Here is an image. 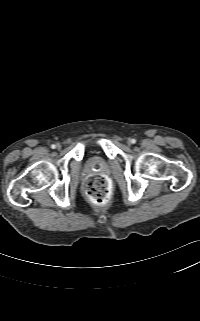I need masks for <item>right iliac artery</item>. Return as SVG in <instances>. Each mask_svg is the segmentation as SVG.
<instances>
[{
  "mask_svg": "<svg viewBox=\"0 0 200 321\" xmlns=\"http://www.w3.org/2000/svg\"><path fill=\"white\" fill-rule=\"evenodd\" d=\"M51 148H52V149H55V148H56V145L52 144V145H51Z\"/></svg>",
  "mask_w": 200,
  "mask_h": 321,
  "instance_id": "right-iliac-artery-1",
  "label": "right iliac artery"
}]
</instances>
